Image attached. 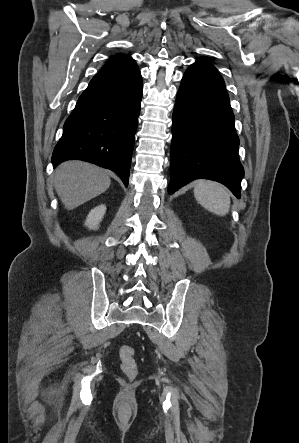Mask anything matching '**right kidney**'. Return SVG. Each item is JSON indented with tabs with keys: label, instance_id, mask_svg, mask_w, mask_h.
<instances>
[{
	"label": "right kidney",
	"instance_id": "right-kidney-1",
	"mask_svg": "<svg viewBox=\"0 0 299 443\" xmlns=\"http://www.w3.org/2000/svg\"><path fill=\"white\" fill-rule=\"evenodd\" d=\"M105 212V205H100L92 209L86 218L85 226H87L89 229H97Z\"/></svg>",
	"mask_w": 299,
	"mask_h": 443
}]
</instances>
